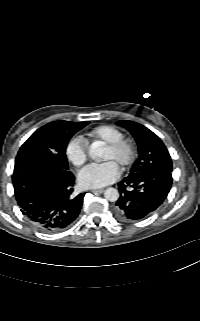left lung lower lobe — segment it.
<instances>
[{"mask_svg":"<svg viewBox=\"0 0 200 321\" xmlns=\"http://www.w3.org/2000/svg\"><path fill=\"white\" fill-rule=\"evenodd\" d=\"M171 185L172 171L154 169L130 173L118 183L116 217L124 222L145 218L164 202Z\"/></svg>","mask_w":200,"mask_h":321,"instance_id":"1","label":"left lung lower lobe"}]
</instances>
